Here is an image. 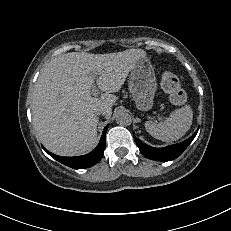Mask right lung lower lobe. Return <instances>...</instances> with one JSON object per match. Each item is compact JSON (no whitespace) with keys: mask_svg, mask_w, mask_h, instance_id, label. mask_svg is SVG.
Masks as SVG:
<instances>
[{"mask_svg":"<svg viewBox=\"0 0 231 231\" xmlns=\"http://www.w3.org/2000/svg\"><path fill=\"white\" fill-rule=\"evenodd\" d=\"M108 125L104 128L103 134L101 136L100 142L97 147L90 153L78 156V157H62L57 156L55 154L50 153L48 150L44 148V150L54 159L59 161L60 163L69 166L73 169H84L91 167L97 164L104 154L105 149V135L107 131Z\"/></svg>","mask_w":231,"mask_h":231,"instance_id":"right-lung-lower-lobe-1","label":"right lung lower lobe"}]
</instances>
